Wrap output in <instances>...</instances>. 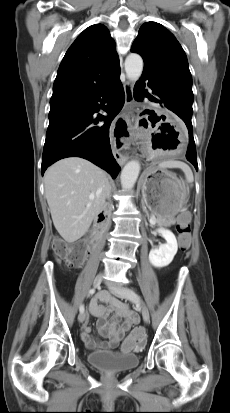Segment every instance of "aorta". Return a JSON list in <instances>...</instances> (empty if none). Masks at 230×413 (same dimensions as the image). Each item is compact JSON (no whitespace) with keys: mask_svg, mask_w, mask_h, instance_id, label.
Segmentation results:
<instances>
[{"mask_svg":"<svg viewBox=\"0 0 230 413\" xmlns=\"http://www.w3.org/2000/svg\"><path fill=\"white\" fill-rule=\"evenodd\" d=\"M143 71V59L136 53H131L125 60V72L128 79L137 81ZM140 163L136 160L129 161L123 168L120 176L121 186L125 190H131L139 176Z\"/></svg>","mask_w":230,"mask_h":413,"instance_id":"obj_1","label":"aorta"}]
</instances>
